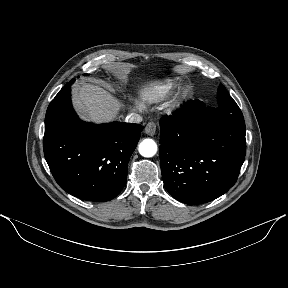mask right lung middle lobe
<instances>
[{
    "label": "right lung middle lobe",
    "instance_id": "dd1d6c3e",
    "mask_svg": "<svg viewBox=\"0 0 288 288\" xmlns=\"http://www.w3.org/2000/svg\"><path fill=\"white\" fill-rule=\"evenodd\" d=\"M75 79L71 80V82H74Z\"/></svg>",
    "mask_w": 288,
    "mask_h": 288
}]
</instances>
